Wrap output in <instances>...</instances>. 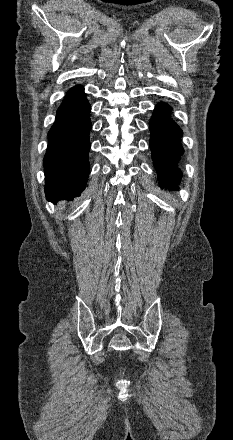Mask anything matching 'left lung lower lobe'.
I'll use <instances>...</instances> for the list:
<instances>
[{"label": "left lung lower lobe", "mask_w": 233, "mask_h": 440, "mask_svg": "<svg viewBox=\"0 0 233 440\" xmlns=\"http://www.w3.org/2000/svg\"><path fill=\"white\" fill-rule=\"evenodd\" d=\"M170 110L171 107L162 102L155 107L149 123L150 149L160 186L176 188L182 176L178 162L184 153L181 146L183 132L171 119Z\"/></svg>", "instance_id": "obj_1"}]
</instances>
